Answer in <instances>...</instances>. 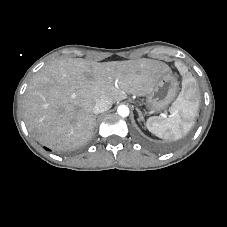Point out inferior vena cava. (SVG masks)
Instances as JSON below:
<instances>
[{
	"instance_id": "inferior-vena-cava-1",
	"label": "inferior vena cava",
	"mask_w": 227,
	"mask_h": 227,
	"mask_svg": "<svg viewBox=\"0 0 227 227\" xmlns=\"http://www.w3.org/2000/svg\"><path fill=\"white\" fill-rule=\"evenodd\" d=\"M112 99L107 97V96H102L101 98H99L93 108V112L95 114H99V113H103L107 110H109L112 106Z\"/></svg>"
}]
</instances>
